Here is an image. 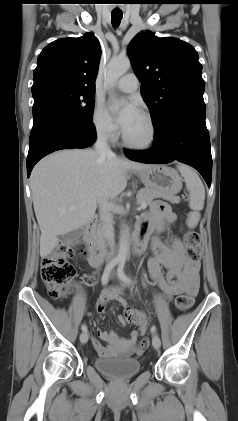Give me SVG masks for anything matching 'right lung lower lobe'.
<instances>
[{
  "mask_svg": "<svg viewBox=\"0 0 238 421\" xmlns=\"http://www.w3.org/2000/svg\"><path fill=\"white\" fill-rule=\"evenodd\" d=\"M33 119L27 157L28 177L44 156L62 149L86 148L96 139L93 123L80 121L52 104L33 107Z\"/></svg>",
  "mask_w": 238,
  "mask_h": 421,
  "instance_id": "obj_1",
  "label": "right lung lower lobe"
}]
</instances>
